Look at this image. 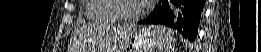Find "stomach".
<instances>
[{
  "label": "stomach",
  "mask_w": 261,
  "mask_h": 52,
  "mask_svg": "<svg viewBox=\"0 0 261 52\" xmlns=\"http://www.w3.org/2000/svg\"><path fill=\"white\" fill-rule=\"evenodd\" d=\"M158 37L154 28L133 29L122 39L120 52H154Z\"/></svg>",
  "instance_id": "0dacf381"
}]
</instances>
